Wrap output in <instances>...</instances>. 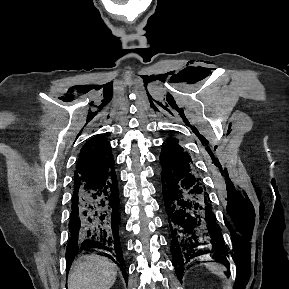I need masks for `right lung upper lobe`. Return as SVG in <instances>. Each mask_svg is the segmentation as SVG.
Listing matches in <instances>:
<instances>
[{"label":"right lung upper lobe","instance_id":"obj_1","mask_svg":"<svg viewBox=\"0 0 289 289\" xmlns=\"http://www.w3.org/2000/svg\"><path fill=\"white\" fill-rule=\"evenodd\" d=\"M114 170L111 147L102 135L93 137L80 151L74 176V187L92 181Z\"/></svg>","mask_w":289,"mask_h":289}]
</instances>
